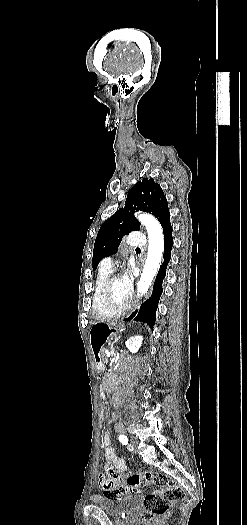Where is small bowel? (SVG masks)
I'll use <instances>...</instances> for the list:
<instances>
[{
    "label": "small bowel",
    "instance_id": "obj_1",
    "mask_svg": "<svg viewBox=\"0 0 247 525\" xmlns=\"http://www.w3.org/2000/svg\"><path fill=\"white\" fill-rule=\"evenodd\" d=\"M102 439L104 446V455L106 459L109 462H111L119 472H126L127 470H129L130 467L126 460L123 457L118 456V454L112 447L110 433L105 432L103 434ZM98 482L102 488L105 487L103 493L105 496H107L108 499L115 501L120 498L121 495L117 497L113 496L114 490L116 489V484L113 482L112 479H106L102 474H100Z\"/></svg>",
    "mask_w": 247,
    "mask_h": 525
}]
</instances>
